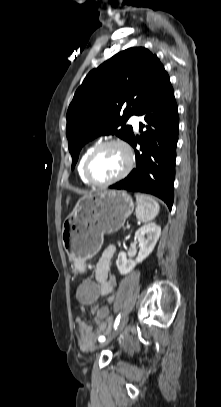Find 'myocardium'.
Instances as JSON below:
<instances>
[{
    "instance_id": "1",
    "label": "myocardium",
    "mask_w": 221,
    "mask_h": 407,
    "mask_svg": "<svg viewBox=\"0 0 221 407\" xmlns=\"http://www.w3.org/2000/svg\"><path fill=\"white\" fill-rule=\"evenodd\" d=\"M112 145H116L121 147L126 156H127V163L125 168L122 170V172L117 175L116 177L106 180V181H97L96 179H94L90 173V165L91 162L93 160V158L104 148L108 147V146H112ZM135 164V156L134 153L131 149V147L123 140L118 139V138H113V139H109L106 141L101 142L100 144L96 145L87 155L84 164H83V174L85 179L94 186H98V187H104V186H109L112 185L122 179H124L133 169Z\"/></svg>"
}]
</instances>
